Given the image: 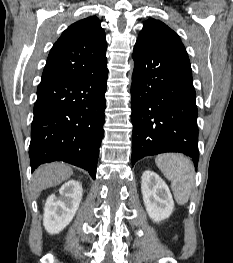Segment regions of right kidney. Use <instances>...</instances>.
<instances>
[{
  "label": "right kidney",
  "instance_id": "ca27d5eb",
  "mask_svg": "<svg viewBox=\"0 0 233 263\" xmlns=\"http://www.w3.org/2000/svg\"><path fill=\"white\" fill-rule=\"evenodd\" d=\"M59 193L58 198L51 194L44 207L43 225L50 234H58L72 221L82 200V185L70 180L61 186Z\"/></svg>",
  "mask_w": 233,
  "mask_h": 263
}]
</instances>
